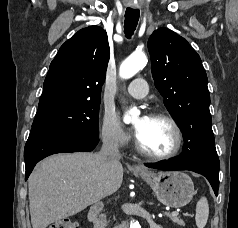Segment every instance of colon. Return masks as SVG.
<instances>
[{
    "mask_svg": "<svg viewBox=\"0 0 238 228\" xmlns=\"http://www.w3.org/2000/svg\"><path fill=\"white\" fill-rule=\"evenodd\" d=\"M47 228H78V225L70 219H61L51 223Z\"/></svg>",
    "mask_w": 238,
    "mask_h": 228,
    "instance_id": "1",
    "label": "colon"
}]
</instances>
